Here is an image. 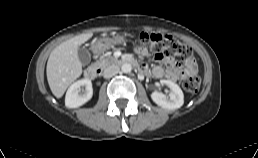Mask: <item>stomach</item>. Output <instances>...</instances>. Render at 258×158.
Returning <instances> with one entry per match:
<instances>
[{
    "instance_id": "obj_1",
    "label": "stomach",
    "mask_w": 258,
    "mask_h": 158,
    "mask_svg": "<svg viewBox=\"0 0 258 158\" xmlns=\"http://www.w3.org/2000/svg\"><path fill=\"white\" fill-rule=\"evenodd\" d=\"M124 37L114 36L112 38L102 37L94 41L92 49L95 53H101L108 50L111 46L115 44H121L124 42Z\"/></svg>"
}]
</instances>
